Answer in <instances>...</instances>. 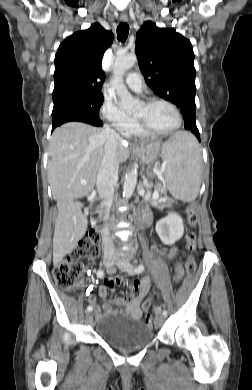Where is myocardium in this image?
I'll return each mask as SVG.
<instances>
[{"instance_id": "f54148a6", "label": "myocardium", "mask_w": 252, "mask_h": 390, "mask_svg": "<svg viewBox=\"0 0 252 390\" xmlns=\"http://www.w3.org/2000/svg\"><path fill=\"white\" fill-rule=\"evenodd\" d=\"M157 103H164V104L168 105L169 107H171V109L174 111V113L176 115V123H175V125L172 128L168 129V130L157 131V130H154V129L150 128L142 120H140L138 118H135L137 128L141 132L146 134L147 136L161 137V136L171 135L174 132H176L182 125V115H181V112H180V110H179V108L177 107L176 104H174L170 100H167V99H164V98H152V99H149V100L143 102V105L145 107L149 108V107H151V106H153V105H155Z\"/></svg>"}]
</instances>
